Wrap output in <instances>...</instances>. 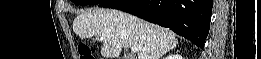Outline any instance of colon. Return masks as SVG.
Wrapping results in <instances>:
<instances>
[{"label": "colon", "mask_w": 261, "mask_h": 59, "mask_svg": "<svg viewBox=\"0 0 261 59\" xmlns=\"http://www.w3.org/2000/svg\"><path fill=\"white\" fill-rule=\"evenodd\" d=\"M78 51L80 59H94L91 49L87 45H81Z\"/></svg>", "instance_id": "5ec220e1"}]
</instances>
